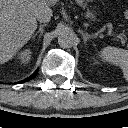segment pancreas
Segmentation results:
<instances>
[{
	"label": "pancreas",
	"instance_id": "cf45deb5",
	"mask_svg": "<svg viewBox=\"0 0 128 128\" xmlns=\"http://www.w3.org/2000/svg\"><path fill=\"white\" fill-rule=\"evenodd\" d=\"M79 5L81 6H85L86 3L84 2V0H75Z\"/></svg>",
	"mask_w": 128,
	"mask_h": 128
}]
</instances>
